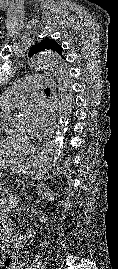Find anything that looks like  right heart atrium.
<instances>
[{
	"label": "right heart atrium",
	"mask_w": 118,
	"mask_h": 269,
	"mask_svg": "<svg viewBox=\"0 0 118 269\" xmlns=\"http://www.w3.org/2000/svg\"><path fill=\"white\" fill-rule=\"evenodd\" d=\"M14 139L19 145L26 143V140L21 136L14 135Z\"/></svg>",
	"instance_id": "obj_1"
}]
</instances>
